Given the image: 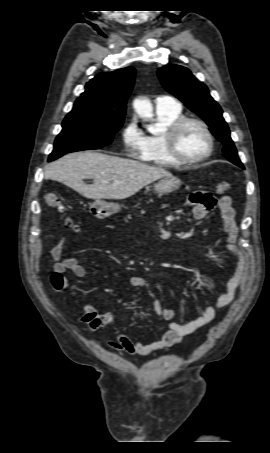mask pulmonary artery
I'll use <instances>...</instances> for the list:
<instances>
[{
  "instance_id": "1",
  "label": "pulmonary artery",
  "mask_w": 270,
  "mask_h": 453,
  "mask_svg": "<svg viewBox=\"0 0 270 453\" xmlns=\"http://www.w3.org/2000/svg\"><path fill=\"white\" fill-rule=\"evenodd\" d=\"M155 107L157 111L176 110L181 108L180 104L170 96L162 95L156 98Z\"/></svg>"
}]
</instances>
